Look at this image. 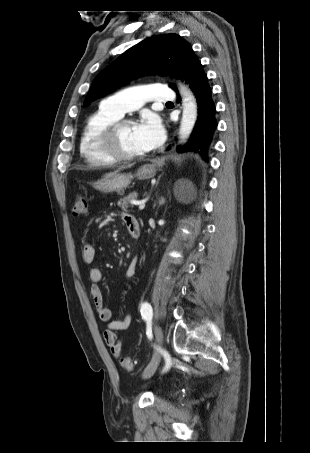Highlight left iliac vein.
<instances>
[{"instance_id":"1","label":"left iliac vein","mask_w":310,"mask_h":453,"mask_svg":"<svg viewBox=\"0 0 310 453\" xmlns=\"http://www.w3.org/2000/svg\"><path fill=\"white\" fill-rule=\"evenodd\" d=\"M154 334H155V338H156L157 347H156L152 360L150 361V363L147 365V367L143 371L142 377L144 379L150 378L155 373V371L158 367V364L160 362L164 337H163V332L158 325L154 326Z\"/></svg>"}]
</instances>
